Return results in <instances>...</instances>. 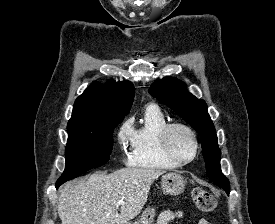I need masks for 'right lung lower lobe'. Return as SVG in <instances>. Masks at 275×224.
<instances>
[{
	"mask_svg": "<svg viewBox=\"0 0 275 224\" xmlns=\"http://www.w3.org/2000/svg\"><path fill=\"white\" fill-rule=\"evenodd\" d=\"M60 185H61V184H56L55 186H56V188H58Z\"/></svg>",
	"mask_w": 275,
	"mask_h": 224,
	"instance_id": "98d812e1",
	"label": "right lung lower lobe"
}]
</instances>
